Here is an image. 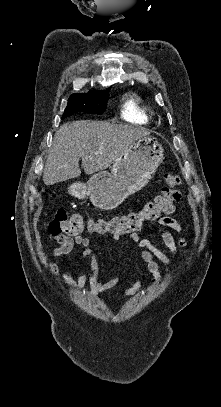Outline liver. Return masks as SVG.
<instances>
[{"label":"liver","instance_id":"1","mask_svg":"<svg viewBox=\"0 0 221 407\" xmlns=\"http://www.w3.org/2000/svg\"><path fill=\"white\" fill-rule=\"evenodd\" d=\"M149 135L143 128L106 121L79 120L56 131L43 172L46 185L81 175L79 160L88 175L107 169L130 145Z\"/></svg>","mask_w":221,"mask_h":407}]
</instances>
